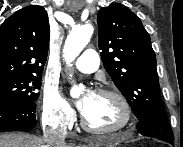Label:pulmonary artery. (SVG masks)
<instances>
[{
  "label": "pulmonary artery",
  "mask_w": 183,
  "mask_h": 147,
  "mask_svg": "<svg viewBox=\"0 0 183 147\" xmlns=\"http://www.w3.org/2000/svg\"><path fill=\"white\" fill-rule=\"evenodd\" d=\"M100 59L93 49H86L74 62L75 67L82 73H93L99 67Z\"/></svg>",
  "instance_id": "obj_1"
}]
</instances>
